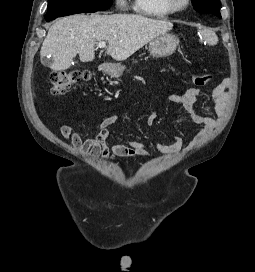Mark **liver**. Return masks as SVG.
Returning a JSON list of instances; mask_svg holds the SVG:
<instances>
[{"label":"liver","mask_w":255,"mask_h":272,"mask_svg":"<svg viewBox=\"0 0 255 272\" xmlns=\"http://www.w3.org/2000/svg\"><path fill=\"white\" fill-rule=\"evenodd\" d=\"M172 27L167 20L137 14L71 15L58 19L49 28L40 55L50 56V68L61 71L73 64L77 54L82 62L93 61L95 43L106 41V53L123 61Z\"/></svg>","instance_id":"liver-1"}]
</instances>
